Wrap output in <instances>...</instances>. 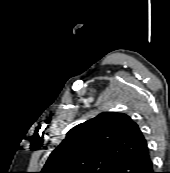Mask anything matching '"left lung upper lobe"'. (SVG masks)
I'll use <instances>...</instances> for the list:
<instances>
[{"instance_id": "obj_1", "label": "left lung upper lobe", "mask_w": 170, "mask_h": 173, "mask_svg": "<svg viewBox=\"0 0 170 173\" xmlns=\"http://www.w3.org/2000/svg\"><path fill=\"white\" fill-rule=\"evenodd\" d=\"M147 148L138 125L128 115L104 112L72 128L40 173H114Z\"/></svg>"}]
</instances>
